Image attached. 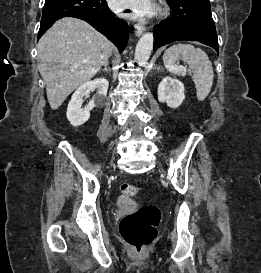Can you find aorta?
<instances>
[{"instance_id": "762f6f07", "label": "aorta", "mask_w": 261, "mask_h": 273, "mask_svg": "<svg viewBox=\"0 0 261 273\" xmlns=\"http://www.w3.org/2000/svg\"><path fill=\"white\" fill-rule=\"evenodd\" d=\"M153 42L154 37L150 32L143 34L139 39L135 49V60L138 64L144 65L148 62L153 49Z\"/></svg>"}]
</instances>
